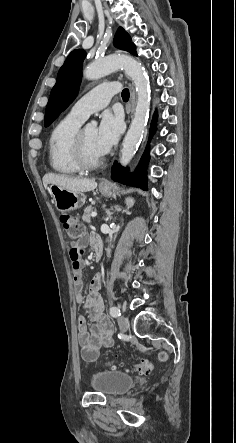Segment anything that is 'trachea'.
Segmentation results:
<instances>
[{
  "label": "trachea",
  "instance_id": "trachea-1",
  "mask_svg": "<svg viewBox=\"0 0 236 443\" xmlns=\"http://www.w3.org/2000/svg\"><path fill=\"white\" fill-rule=\"evenodd\" d=\"M122 98L124 101H128V99H129V90L128 89H124L122 91Z\"/></svg>",
  "mask_w": 236,
  "mask_h": 443
}]
</instances>
